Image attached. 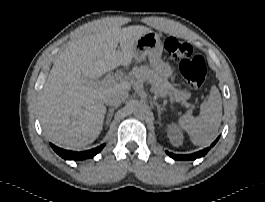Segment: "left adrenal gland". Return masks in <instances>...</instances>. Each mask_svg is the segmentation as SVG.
<instances>
[{
	"mask_svg": "<svg viewBox=\"0 0 265 202\" xmlns=\"http://www.w3.org/2000/svg\"><path fill=\"white\" fill-rule=\"evenodd\" d=\"M154 105L157 107V110H158V117H159V120H161V115H162L163 108H162L161 105L158 104L157 101H155V100H154Z\"/></svg>",
	"mask_w": 265,
	"mask_h": 202,
	"instance_id": "left-adrenal-gland-1",
	"label": "left adrenal gland"
}]
</instances>
